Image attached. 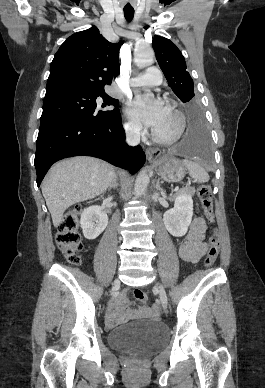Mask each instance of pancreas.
I'll use <instances>...</instances> for the list:
<instances>
[{"mask_svg": "<svg viewBox=\"0 0 265 388\" xmlns=\"http://www.w3.org/2000/svg\"><path fill=\"white\" fill-rule=\"evenodd\" d=\"M195 192L196 190H194V188H181V190L177 192L176 196H178V194H189V196H193ZM172 198H175V196H171L170 200H172Z\"/></svg>", "mask_w": 265, "mask_h": 388, "instance_id": "obj_1", "label": "pancreas"}]
</instances>
